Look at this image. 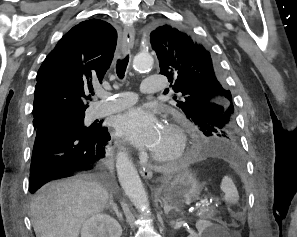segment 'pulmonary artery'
<instances>
[{
    "label": "pulmonary artery",
    "mask_w": 297,
    "mask_h": 237,
    "mask_svg": "<svg viewBox=\"0 0 297 237\" xmlns=\"http://www.w3.org/2000/svg\"><path fill=\"white\" fill-rule=\"evenodd\" d=\"M166 82L160 76L146 77L140 87V91L146 94L159 92ZM104 100L91 106L92 115L99 117L126 109L137 102L133 92H124L113 96L103 95Z\"/></svg>",
    "instance_id": "e3ab8cb5"
}]
</instances>
